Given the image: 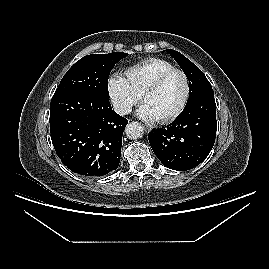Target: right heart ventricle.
<instances>
[{"label":"right heart ventricle","mask_w":269,"mask_h":269,"mask_svg":"<svg viewBox=\"0 0 269 269\" xmlns=\"http://www.w3.org/2000/svg\"><path fill=\"white\" fill-rule=\"evenodd\" d=\"M172 68L173 64L167 60L149 58L129 67L125 75L131 88L140 95L157 76Z\"/></svg>","instance_id":"e07e8e85"}]
</instances>
